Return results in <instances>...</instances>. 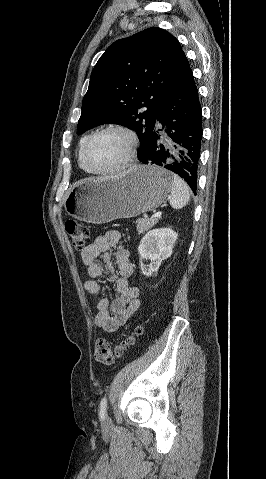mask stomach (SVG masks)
Returning <instances> with one entry per match:
<instances>
[{
  "label": "stomach",
  "mask_w": 266,
  "mask_h": 479,
  "mask_svg": "<svg viewBox=\"0 0 266 479\" xmlns=\"http://www.w3.org/2000/svg\"><path fill=\"white\" fill-rule=\"evenodd\" d=\"M172 174L155 165H136L122 175L89 179L72 186L64 198L68 215L103 224L152 211L168 197Z\"/></svg>",
  "instance_id": "stomach-1"
}]
</instances>
